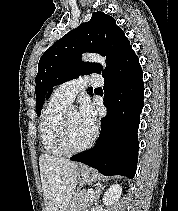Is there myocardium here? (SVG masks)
<instances>
[{
    "label": "myocardium",
    "mask_w": 178,
    "mask_h": 211,
    "mask_svg": "<svg viewBox=\"0 0 178 211\" xmlns=\"http://www.w3.org/2000/svg\"><path fill=\"white\" fill-rule=\"evenodd\" d=\"M68 113L69 112H65L61 120L60 144L66 153H79L90 148L94 144L96 132H92L90 139L84 145L80 147H73L69 140Z\"/></svg>",
    "instance_id": "myocardium-1"
}]
</instances>
